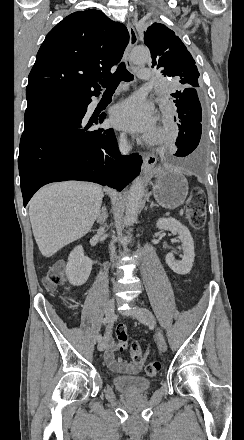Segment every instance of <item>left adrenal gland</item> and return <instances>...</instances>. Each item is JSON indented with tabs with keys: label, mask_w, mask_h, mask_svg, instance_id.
<instances>
[{
	"label": "left adrenal gland",
	"mask_w": 244,
	"mask_h": 440,
	"mask_svg": "<svg viewBox=\"0 0 244 440\" xmlns=\"http://www.w3.org/2000/svg\"><path fill=\"white\" fill-rule=\"evenodd\" d=\"M153 206H157V208H158V204H154V202H151L150 208H153Z\"/></svg>",
	"instance_id": "left-adrenal-gland-1"
}]
</instances>
